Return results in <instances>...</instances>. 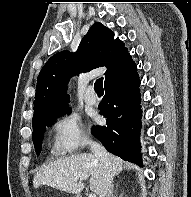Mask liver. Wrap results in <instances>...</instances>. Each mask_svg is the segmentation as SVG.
<instances>
[{
    "label": "liver",
    "mask_w": 191,
    "mask_h": 197,
    "mask_svg": "<svg viewBox=\"0 0 191 197\" xmlns=\"http://www.w3.org/2000/svg\"><path fill=\"white\" fill-rule=\"evenodd\" d=\"M113 176L123 168L122 160L110 155ZM104 168L92 153H82L61 158L40 168L34 175V188L48 185L71 194H79L83 188V179L90 177V189L97 195L103 182Z\"/></svg>",
    "instance_id": "liver-1"
}]
</instances>
